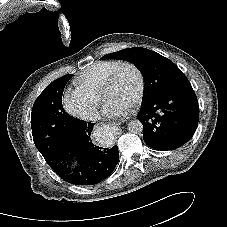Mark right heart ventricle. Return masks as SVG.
Listing matches in <instances>:
<instances>
[{
  "label": "right heart ventricle",
  "instance_id": "1",
  "mask_svg": "<svg viewBox=\"0 0 227 227\" xmlns=\"http://www.w3.org/2000/svg\"><path fill=\"white\" fill-rule=\"evenodd\" d=\"M120 63V60L115 59L97 61L75 77L73 84L76 89L98 97L105 80Z\"/></svg>",
  "mask_w": 227,
  "mask_h": 227
}]
</instances>
